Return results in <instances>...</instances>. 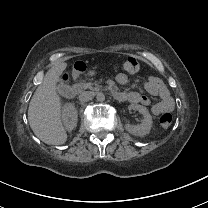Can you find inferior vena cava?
<instances>
[{
    "label": "inferior vena cava",
    "mask_w": 208,
    "mask_h": 208,
    "mask_svg": "<svg viewBox=\"0 0 208 208\" xmlns=\"http://www.w3.org/2000/svg\"><path fill=\"white\" fill-rule=\"evenodd\" d=\"M94 97V93L91 91H84L82 93H80L79 95V100L80 102H88L90 100H92Z\"/></svg>",
    "instance_id": "inferior-vena-cava-1"
}]
</instances>
